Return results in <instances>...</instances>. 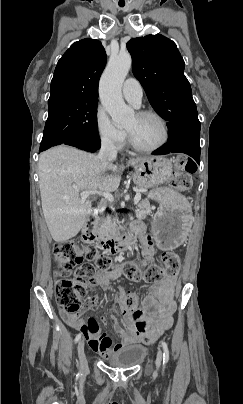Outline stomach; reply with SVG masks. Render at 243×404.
Instances as JSON below:
<instances>
[{"instance_id": "obj_1", "label": "stomach", "mask_w": 243, "mask_h": 404, "mask_svg": "<svg viewBox=\"0 0 243 404\" xmlns=\"http://www.w3.org/2000/svg\"><path fill=\"white\" fill-rule=\"evenodd\" d=\"M133 180L142 189L153 188L149 197L159 202L153 215L152 229L158 246L173 250L181 245L192 225V210L187 199L168 188L160 187L173 174L172 163L164 157H149L133 165Z\"/></svg>"}]
</instances>
